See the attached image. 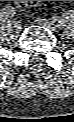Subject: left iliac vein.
Here are the masks:
<instances>
[{
	"mask_svg": "<svg viewBox=\"0 0 74 122\" xmlns=\"http://www.w3.org/2000/svg\"><path fill=\"white\" fill-rule=\"evenodd\" d=\"M36 23L47 27L50 31L55 32L57 30V25L52 21L49 22L46 19H36Z\"/></svg>",
	"mask_w": 74,
	"mask_h": 122,
	"instance_id": "obj_1",
	"label": "left iliac vein"
}]
</instances>
